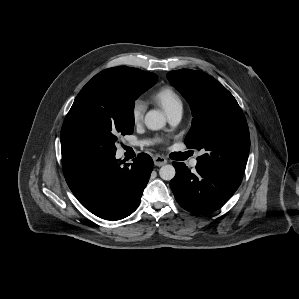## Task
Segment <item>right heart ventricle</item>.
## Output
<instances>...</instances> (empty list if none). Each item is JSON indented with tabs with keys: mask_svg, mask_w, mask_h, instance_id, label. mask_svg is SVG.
<instances>
[{
	"mask_svg": "<svg viewBox=\"0 0 299 299\" xmlns=\"http://www.w3.org/2000/svg\"><path fill=\"white\" fill-rule=\"evenodd\" d=\"M152 100L161 106L168 114L175 109L183 107L180 95L171 87L164 86L152 94Z\"/></svg>",
	"mask_w": 299,
	"mask_h": 299,
	"instance_id": "1",
	"label": "right heart ventricle"
}]
</instances>
